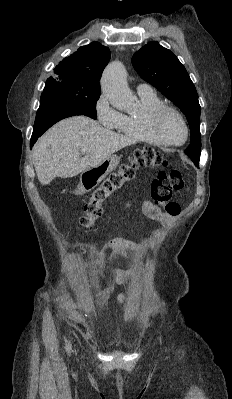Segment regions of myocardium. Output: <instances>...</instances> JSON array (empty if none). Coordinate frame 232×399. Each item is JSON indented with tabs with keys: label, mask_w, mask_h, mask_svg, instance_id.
Here are the masks:
<instances>
[{
	"label": "myocardium",
	"mask_w": 232,
	"mask_h": 399,
	"mask_svg": "<svg viewBox=\"0 0 232 399\" xmlns=\"http://www.w3.org/2000/svg\"><path fill=\"white\" fill-rule=\"evenodd\" d=\"M168 111H171L174 114H176L177 117L181 120V122L183 123V125L185 127L186 137H185V140L181 143H176V142L170 140L162 133V131L160 129V119ZM149 128H150L151 133L156 138H158L162 142L166 143L167 145H171V146L184 145L188 141L189 135H190L189 125H188L187 120L185 119L184 115L177 108H175L173 106H168V105H163L151 113V115L149 117Z\"/></svg>",
	"instance_id": "myocardium-1"
}]
</instances>
